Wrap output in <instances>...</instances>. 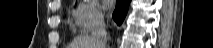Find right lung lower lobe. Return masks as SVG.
Wrapping results in <instances>:
<instances>
[{"label": "right lung lower lobe", "instance_id": "obj_1", "mask_svg": "<svg viewBox=\"0 0 213 48\" xmlns=\"http://www.w3.org/2000/svg\"><path fill=\"white\" fill-rule=\"evenodd\" d=\"M130 0H117V5L113 13L114 20L120 25L126 16Z\"/></svg>", "mask_w": 213, "mask_h": 48}]
</instances>
